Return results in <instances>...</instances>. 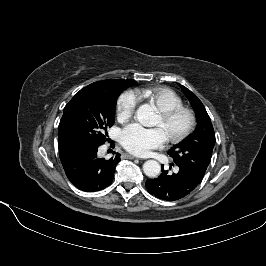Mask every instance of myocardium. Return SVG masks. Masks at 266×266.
I'll return each instance as SVG.
<instances>
[{
	"label": "myocardium",
	"mask_w": 266,
	"mask_h": 266,
	"mask_svg": "<svg viewBox=\"0 0 266 266\" xmlns=\"http://www.w3.org/2000/svg\"><path fill=\"white\" fill-rule=\"evenodd\" d=\"M159 115L165 121H170L179 115H185L187 117V125L185 129L177 135L168 137L169 140L174 143H178L186 139L195 129L196 122H197L194 111L185 106H180V107H175L172 109L160 111Z\"/></svg>",
	"instance_id": "1"
}]
</instances>
